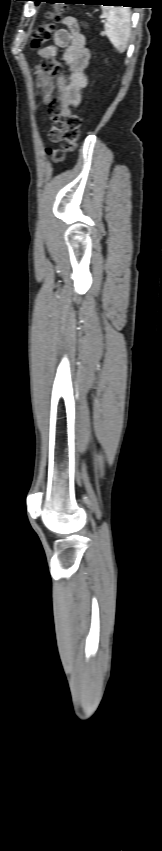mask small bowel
I'll return each instance as SVG.
<instances>
[{
	"instance_id": "1",
	"label": "small bowel",
	"mask_w": 162,
	"mask_h": 851,
	"mask_svg": "<svg viewBox=\"0 0 162 851\" xmlns=\"http://www.w3.org/2000/svg\"><path fill=\"white\" fill-rule=\"evenodd\" d=\"M63 25L54 33L52 43L38 50V55L45 60L34 69L37 90L48 107L49 118L55 121L68 116L71 108L80 103L81 90L86 86L85 69L90 60V52L77 20L66 17ZM59 48H64L62 62L67 67L65 74L60 73V63L56 58ZM55 90L56 98L53 96ZM53 130L50 131L49 139L57 142Z\"/></svg>"
}]
</instances>
